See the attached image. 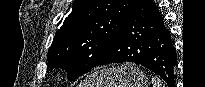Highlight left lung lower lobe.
Returning <instances> with one entry per match:
<instances>
[{
  "mask_svg": "<svg viewBox=\"0 0 205 87\" xmlns=\"http://www.w3.org/2000/svg\"><path fill=\"white\" fill-rule=\"evenodd\" d=\"M177 57L164 18L153 0H136L98 66L141 64L174 86Z\"/></svg>",
  "mask_w": 205,
  "mask_h": 87,
  "instance_id": "1",
  "label": "left lung lower lobe"
}]
</instances>
